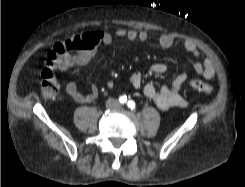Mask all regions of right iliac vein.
Returning <instances> with one entry per match:
<instances>
[{"label":"right iliac vein","instance_id":"right-iliac-vein-1","mask_svg":"<svg viewBox=\"0 0 245 187\" xmlns=\"http://www.w3.org/2000/svg\"><path fill=\"white\" fill-rule=\"evenodd\" d=\"M107 108H112V107H115V103L113 101H110L107 103Z\"/></svg>","mask_w":245,"mask_h":187}]
</instances>
